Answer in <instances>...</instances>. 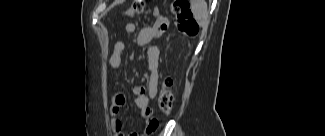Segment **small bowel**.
<instances>
[{
	"instance_id": "small-bowel-1",
	"label": "small bowel",
	"mask_w": 325,
	"mask_h": 136,
	"mask_svg": "<svg viewBox=\"0 0 325 136\" xmlns=\"http://www.w3.org/2000/svg\"><path fill=\"white\" fill-rule=\"evenodd\" d=\"M165 25L162 22L149 27L142 28L137 35V44L140 47L148 46V67L150 70L149 80L145 85L136 86L132 89L136 107L141 111L142 117L145 119L146 127L145 134H151L158 128L159 122L153 117V110L151 108V101L155 97L159 81V50L155 46H149L150 42L163 35ZM126 34H133L136 31L134 23H127L124 26ZM126 50V45L123 41L118 40L114 43L113 52L109 58L110 66L118 69L122 64V56ZM126 95L124 93H117L113 96L111 101V114L116 117L121 107L124 105ZM112 129L116 135L119 136H138V132L134 130L124 131L123 123L120 119L114 118L112 121Z\"/></svg>"
}]
</instances>
